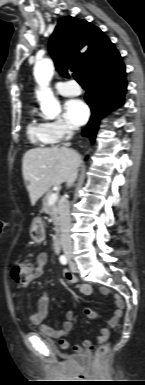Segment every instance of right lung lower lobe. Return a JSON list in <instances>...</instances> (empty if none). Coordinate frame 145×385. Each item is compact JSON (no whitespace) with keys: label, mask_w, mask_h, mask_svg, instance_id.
<instances>
[{"label":"right lung lower lobe","mask_w":145,"mask_h":385,"mask_svg":"<svg viewBox=\"0 0 145 385\" xmlns=\"http://www.w3.org/2000/svg\"><path fill=\"white\" fill-rule=\"evenodd\" d=\"M86 82L88 90L85 100L91 108L92 115L82 135L94 142L100 118L104 116L108 107L116 109L124 102L127 88L125 66L121 61L110 71L89 76Z\"/></svg>","instance_id":"right-lung-lower-lobe-1"}]
</instances>
